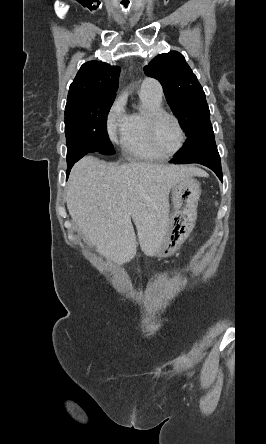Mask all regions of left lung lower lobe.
<instances>
[{"label": "left lung lower lobe", "instance_id": "0a47b994", "mask_svg": "<svg viewBox=\"0 0 266 444\" xmlns=\"http://www.w3.org/2000/svg\"><path fill=\"white\" fill-rule=\"evenodd\" d=\"M174 164L199 163L213 170L223 181L221 160L216 147L212 125L199 129L170 160Z\"/></svg>", "mask_w": 266, "mask_h": 444}]
</instances>
